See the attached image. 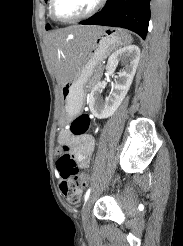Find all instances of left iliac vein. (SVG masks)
Returning a JSON list of instances; mask_svg holds the SVG:
<instances>
[{
    "mask_svg": "<svg viewBox=\"0 0 183 246\" xmlns=\"http://www.w3.org/2000/svg\"><path fill=\"white\" fill-rule=\"evenodd\" d=\"M93 200L94 194H91L82 210V223L85 230H88L90 228V211Z\"/></svg>",
    "mask_w": 183,
    "mask_h": 246,
    "instance_id": "left-iliac-vein-1",
    "label": "left iliac vein"
}]
</instances>
